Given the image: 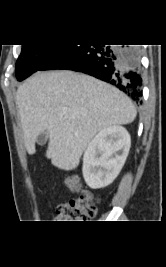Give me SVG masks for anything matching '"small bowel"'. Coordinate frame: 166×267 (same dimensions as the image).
I'll list each match as a JSON object with an SVG mask.
<instances>
[{
	"mask_svg": "<svg viewBox=\"0 0 166 267\" xmlns=\"http://www.w3.org/2000/svg\"><path fill=\"white\" fill-rule=\"evenodd\" d=\"M67 186L69 187V189H70L71 191H73V192L77 191V189L72 185L70 179L67 181Z\"/></svg>",
	"mask_w": 166,
	"mask_h": 267,
	"instance_id": "c3829d8e",
	"label": "small bowel"
}]
</instances>
